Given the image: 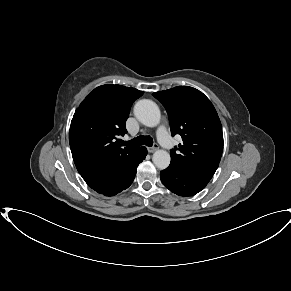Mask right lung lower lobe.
<instances>
[{
    "instance_id": "right-lung-lower-lobe-1",
    "label": "right lung lower lobe",
    "mask_w": 291,
    "mask_h": 291,
    "mask_svg": "<svg viewBox=\"0 0 291 291\" xmlns=\"http://www.w3.org/2000/svg\"><path fill=\"white\" fill-rule=\"evenodd\" d=\"M147 149L138 147L125 159L114 165H76L85 182L96 192L114 196L128 188L135 177L137 166L145 159Z\"/></svg>"
}]
</instances>
